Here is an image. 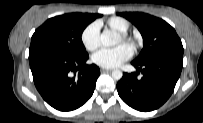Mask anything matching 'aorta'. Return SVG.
Instances as JSON below:
<instances>
[{"instance_id": "aorta-1", "label": "aorta", "mask_w": 203, "mask_h": 123, "mask_svg": "<svg viewBox=\"0 0 203 123\" xmlns=\"http://www.w3.org/2000/svg\"><path fill=\"white\" fill-rule=\"evenodd\" d=\"M101 43L105 47L114 46L119 43L120 36L111 30H104L100 36ZM123 76V73L121 70H113L112 71V78L115 80H120Z\"/></svg>"}]
</instances>
